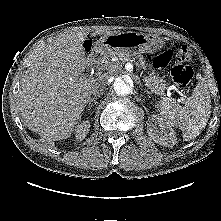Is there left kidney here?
<instances>
[{
	"label": "left kidney",
	"mask_w": 221,
	"mask_h": 221,
	"mask_svg": "<svg viewBox=\"0 0 221 221\" xmlns=\"http://www.w3.org/2000/svg\"><path fill=\"white\" fill-rule=\"evenodd\" d=\"M157 126L159 129H157ZM147 132L155 143L162 146L172 147L176 144V135L173 128L156 115H153L151 122L148 123Z\"/></svg>",
	"instance_id": "1"
}]
</instances>
